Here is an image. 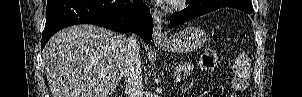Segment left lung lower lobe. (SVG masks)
Masks as SVG:
<instances>
[{
	"label": "left lung lower lobe",
	"instance_id": "left-lung-lower-lobe-1",
	"mask_svg": "<svg viewBox=\"0 0 302 97\" xmlns=\"http://www.w3.org/2000/svg\"><path fill=\"white\" fill-rule=\"evenodd\" d=\"M222 7L236 8L248 14L253 12L251 0H191L186 9L172 15L169 27L182 24Z\"/></svg>",
	"mask_w": 302,
	"mask_h": 97
}]
</instances>
